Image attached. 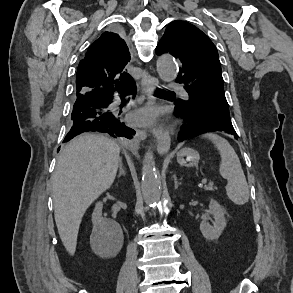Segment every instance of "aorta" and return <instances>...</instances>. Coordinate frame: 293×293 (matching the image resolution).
Instances as JSON below:
<instances>
[{
    "mask_svg": "<svg viewBox=\"0 0 293 293\" xmlns=\"http://www.w3.org/2000/svg\"><path fill=\"white\" fill-rule=\"evenodd\" d=\"M157 70L162 80L167 82L174 80L177 75L174 58L170 55L160 56L157 60ZM141 190L147 204H155L161 198V181L157 176L151 148L147 150L143 159Z\"/></svg>",
    "mask_w": 293,
    "mask_h": 293,
    "instance_id": "obj_1",
    "label": "aorta"
}]
</instances>
